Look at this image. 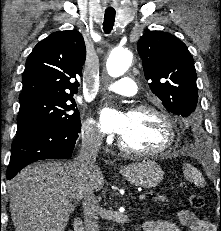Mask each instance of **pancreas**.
Returning a JSON list of instances; mask_svg holds the SVG:
<instances>
[{"instance_id":"pancreas-1","label":"pancreas","mask_w":221,"mask_h":231,"mask_svg":"<svg viewBox=\"0 0 221 231\" xmlns=\"http://www.w3.org/2000/svg\"><path fill=\"white\" fill-rule=\"evenodd\" d=\"M154 199L162 202H167V197L165 195L158 194Z\"/></svg>"}]
</instances>
